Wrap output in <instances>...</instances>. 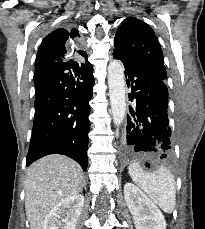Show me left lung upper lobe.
<instances>
[{
	"label": "left lung upper lobe",
	"instance_id": "5c2ea615",
	"mask_svg": "<svg viewBox=\"0 0 205 229\" xmlns=\"http://www.w3.org/2000/svg\"><path fill=\"white\" fill-rule=\"evenodd\" d=\"M114 52L162 80L166 79L164 57L152 28L134 17L123 20L117 30Z\"/></svg>",
	"mask_w": 205,
	"mask_h": 229
}]
</instances>
